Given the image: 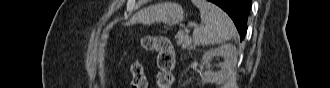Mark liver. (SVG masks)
<instances>
[{"instance_id": "liver-1", "label": "liver", "mask_w": 330, "mask_h": 88, "mask_svg": "<svg viewBox=\"0 0 330 88\" xmlns=\"http://www.w3.org/2000/svg\"><path fill=\"white\" fill-rule=\"evenodd\" d=\"M151 7L148 8H144L142 10H140L139 12H137L133 17H132V21H144L147 19V17L149 16Z\"/></svg>"}]
</instances>
